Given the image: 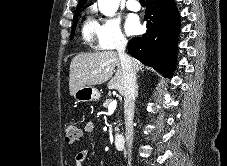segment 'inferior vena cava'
Wrapping results in <instances>:
<instances>
[{"label": "inferior vena cava", "instance_id": "inferior-vena-cava-1", "mask_svg": "<svg viewBox=\"0 0 227 166\" xmlns=\"http://www.w3.org/2000/svg\"><path fill=\"white\" fill-rule=\"evenodd\" d=\"M127 40L120 37L116 49L120 59L124 78V113H125V136L128 148V166H131V147L133 142V115L136 96V72L131 57L126 54Z\"/></svg>", "mask_w": 227, "mask_h": 166}]
</instances>
